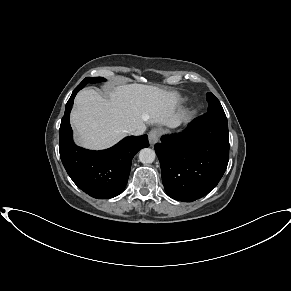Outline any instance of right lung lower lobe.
I'll return each instance as SVG.
<instances>
[{
	"label": "right lung lower lobe",
	"mask_w": 291,
	"mask_h": 291,
	"mask_svg": "<svg viewBox=\"0 0 291 291\" xmlns=\"http://www.w3.org/2000/svg\"><path fill=\"white\" fill-rule=\"evenodd\" d=\"M79 84L69 98L59 129V152L73 182L85 193L98 199L113 198L124 190L134 155L148 147V136H129L115 146L91 151L78 147L72 139L69 116Z\"/></svg>",
	"instance_id": "98d812e1"
}]
</instances>
